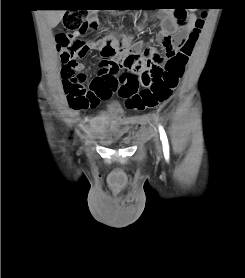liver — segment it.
Segmentation results:
<instances>
[{
  "mask_svg": "<svg viewBox=\"0 0 245 278\" xmlns=\"http://www.w3.org/2000/svg\"><path fill=\"white\" fill-rule=\"evenodd\" d=\"M66 10H46L45 17L50 28L56 27L62 20Z\"/></svg>",
  "mask_w": 245,
  "mask_h": 278,
  "instance_id": "6515ba94",
  "label": "liver"
}]
</instances>
